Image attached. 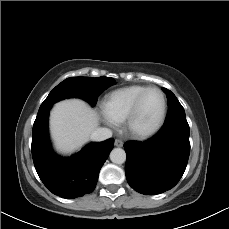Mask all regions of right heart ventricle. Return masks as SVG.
Returning a JSON list of instances; mask_svg holds the SVG:
<instances>
[{
	"label": "right heart ventricle",
	"instance_id": "1",
	"mask_svg": "<svg viewBox=\"0 0 229 229\" xmlns=\"http://www.w3.org/2000/svg\"><path fill=\"white\" fill-rule=\"evenodd\" d=\"M148 88L143 85H131L111 92L103 101L104 113L116 123L122 122L138 95Z\"/></svg>",
	"mask_w": 229,
	"mask_h": 229
}]
</instances>
